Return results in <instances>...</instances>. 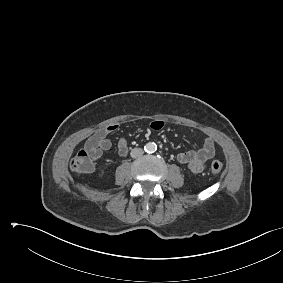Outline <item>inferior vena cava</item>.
<instances>
[{"instance_id": "obj_1", "label": "inferior vena cava", "mask_w": 283, "mask_h": 283, "mask_svg": "<svg viewBox=\"0 0 283 283\" xmlns=\"http://www.w3.org/2000/svg\"><path fill=\"white\" fill-rule=\"evenodd\" d=\"M142 154H143V149L141 148H134L131 150V153H130L132 158H136L138 156H141Z\"/></svg>"}]
</instances>
